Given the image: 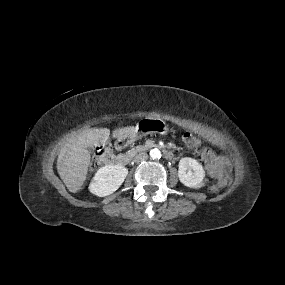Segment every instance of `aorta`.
I'll return each mask as SVG.
<instances>
[{
    "label": "aorta",
    "instance_id": "762f6f07",
    "mask_svg": "<svg viewBox=\"0 0 285 285\" xmlns=\"http://www.w3.org/2000/svg\"><path fill=\"white\" fill-rule=\"evenodd\" d=\"M150 157L152 159H160L161 158V152L159 149L155 148V149H152L150 151Z\"/></svg>",
    "mask_w": 285,
    "mask_h": 285
}]
</instances>
